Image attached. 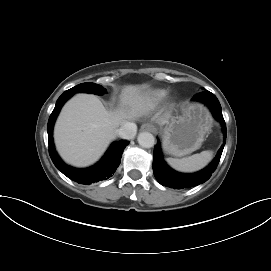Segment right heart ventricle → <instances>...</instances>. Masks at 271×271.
Instances as JSON below:
<instances>
[{"mask_svg": "<svg viewBox=\"0 0 271 271\" xmlns=\"http://www.w3.org/2000/svg\"><path fill=\"white\" fill-rule=\"evenodd\" d=\"M167 95L164 89H154L140 96L136 103L141 107H152L162 101Z\"/></svg>", "mask_w": 271, "mask_h": 271, "instance_id": "1", "label": "right heart ventricle"}]
</instances>
